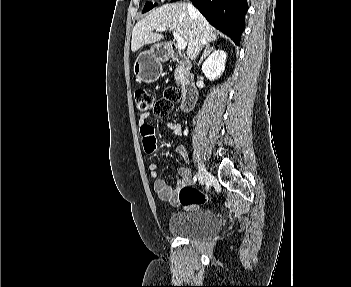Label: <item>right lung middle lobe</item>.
I'll use <instances>...</instances> for the list:
<instances>
[{
    "instance_id": "right-lung-middle-lobe-1",
    "label": "right lung middle lobe",
    "mask_w": 351,
    "mask_h": 287,
    "mask_svg": "<svg viewBox=\"0 0 351 287\" xmlns=\"http://www.w3.org/2000/svg\"><path fill=\"white\" fill-rule=\"evenodd\" d=\"M157 4H153L152 2H147L143 8V13L151 10L152 8H154Z\"/></svg>"
}]
</instances>
